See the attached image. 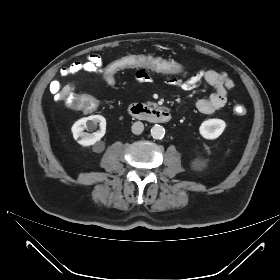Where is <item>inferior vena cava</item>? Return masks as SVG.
<instances>
[{"mask_svg": "<svg viewBox=\"0 0 280 280\" xmlns=\"http://www.w3.org/2000/svg\"><path fill=\"white\" fill-rule=\"evenodd\" d=\"M144 130V125L142 122L140 121H137L135 123H133L132 125V133L136 134V135H139L143 132Z\"/></svg>", "mask_w": 280, "mask_h": 280, "instance_id": "inferior-vena-cava-1", "label": "inferior vena cava"}]
</instances>
